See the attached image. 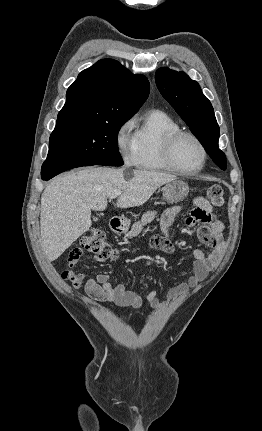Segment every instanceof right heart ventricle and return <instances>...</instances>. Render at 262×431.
I'll use <instances>...</instances> for the list:
<instances>
[{
  "mask_svg": "<svg viewBox=\"0 0 262 431\" xmlns=\"http://www.w3.org/2000/svg\"><path fill=\"white\" fill-rule=\"evenodd\" d=\"M179 124L160 110H150L134 123V163L141 169L172 171L163 158L167 135L180 131Z\"/></svg>",
  "mask_w": 262,
  "mask_h": 431,
  "instance_id": "1",
  "label": "right heart ventricle"
}]
</instances>
